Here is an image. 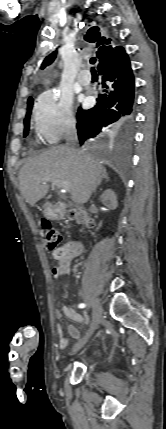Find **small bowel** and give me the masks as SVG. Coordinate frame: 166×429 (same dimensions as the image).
Instances as JSON below:
<instances>
[{"label":"small bowel","instance_id":"small-bowel-1","mask_svg":"<svg viewBox=\"0 0 166 429\" xmlns=\"http://www.w3.org/2000/svg\"><path fill=\"white\" fill-rule=\"evenodd\" d=\"M83 250L84 246L81 242L69 241L57 248L55 251H53L52 258L58 262L57 266L54 267L52 270L53 276L55 278H58L70 274L72 270L73 260L79 257L82 254ZM55 315L57 319H61L63 315H65L69 320L75 323L84 322V317L67 305H64L62 307V310H57ZM67 331L69 335L74 339H80L81 334L76 327L70 325L67 327ZM57 333L60 348L66 349L68 346V340L64 336V333L59 325L57 326Z\"/></svg>","mask_w":166,"mask_h":429}]
</instances>
